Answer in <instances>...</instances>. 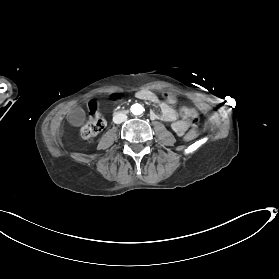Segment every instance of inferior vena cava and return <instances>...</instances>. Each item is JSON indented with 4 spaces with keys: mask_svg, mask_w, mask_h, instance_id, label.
I'll use <instances>...</instances> for the list:
<instances>
[{
    "mask_svg": "<svg viewBox=\"0 0 279 279\" xmlns=\"http://www.w3.org/2000/svg\"><path fill=\"white\" fill-rule=\"evenodd\" d=\"M126 113L127 112H124V114L123 113H116L117 115H115L113 117L114 123L120 124V123H122L124 121L126 122L127 121Z\"/></svg>",
    "mask_w": 279,
    "mask_h": 279,
    "instance_id": "obj_1",
    "label": "inferior vena cava"
}]
</instances>
